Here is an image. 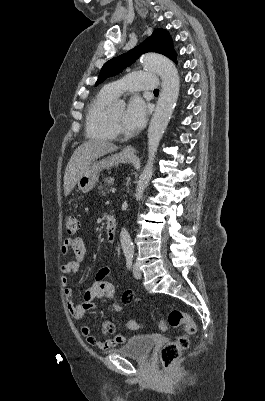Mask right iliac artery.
I'll return each instance as SVG.
<instances>
[{
	"label": "right iliac artery",
	"instance_id": "right-iliac-artery-1",
	"mask_svg": "<svg viewBox=\"0 0 265 401\" xmlns=\"http://www.w3.org/2000/svg\"><path fill=\"white\" fill-rule=\"evenodd\" d=\"M126 265L128 269H131L132 266V257H126Z\"/></svg>",
	"mask_w": 265,
	"mask_h": 401
}]
</instances>
